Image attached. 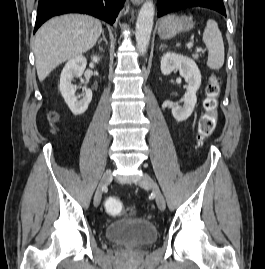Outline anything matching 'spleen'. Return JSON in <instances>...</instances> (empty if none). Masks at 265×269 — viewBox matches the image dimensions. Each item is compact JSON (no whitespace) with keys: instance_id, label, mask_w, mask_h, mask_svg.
I'll return each instance as SVG.
<instances>
[{"instance_id":"1","label":"spleen","mask_w":265,"mask_h":269,"mask_svg":"<svg viewBox=\"0 0 265 269\" xmlns=\"http://www.w3.org/2000/svg\"><path fill=\"white\" fill-rule=\"evenodd\" d=\"M203 42L208 49L207 66L219 70L224 64V43L216 21L209 19L203 33Z\"/></svg>"}]
</instances>
